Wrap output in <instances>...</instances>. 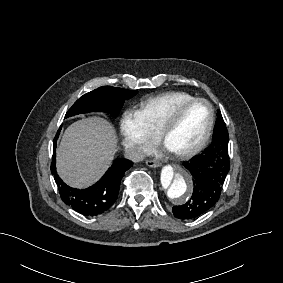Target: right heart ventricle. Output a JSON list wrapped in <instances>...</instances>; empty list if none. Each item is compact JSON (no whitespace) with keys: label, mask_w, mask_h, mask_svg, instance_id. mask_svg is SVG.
Returning <instances> with one entry per match:
<instances>
[{"label":"right heart ventricle","mask_w":283,"mask_h":283,"mask_svg":"<svg viewBox=\"0 0 283 283\" xmlns=\"http://www.w3.org/2000/svg\"><path fill=\"white\" fill-rule=\"evenodd\" d=\"M192 98H195V96L184 91L167 92L141 102L137 111L144 118L153 136H156V131L158 128L157 119L158 115L163 109L164 104H168V106L165 108L166 112L169 107H173V104Z\"/></svg>","instance_id":"right-heart-ventricle-1"}]
</instances>
